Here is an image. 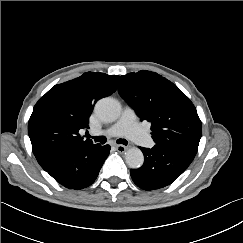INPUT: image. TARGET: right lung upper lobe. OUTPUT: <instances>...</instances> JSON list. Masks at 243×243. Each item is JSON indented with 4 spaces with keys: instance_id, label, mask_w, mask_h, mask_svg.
<instances>
[{
    "instance_id": "right-lung-upper-lobe-1",
    "label": "right lung upper lobe",
    "mask_w": 243,
    "mask_h": 243,
    "mask_svg": "<svg viewBox=\"0 0 243 243\" xmlns=\"http://www.w3.org/2000/svg\"><path fill=\"white\" fill-rule=\"evenodd\" d=\"M119 76L87 72L55 85L39 99L28 122V133L36 156L54 148L92 145L79 134L88 128L95 103L116 91Z\"/></svg>"
}]
</instances>
